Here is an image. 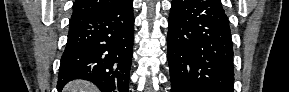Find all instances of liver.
Here are the masks:
<instances>
[{
  "label": "liver",
  "instance_id": "obj_1",
  "mask_svg": "<svg viewBox=\"0 0 289 92\" xmlns=\"http://www.w3.org/2000/svg\"><path fill=\"white\" fill-rule=\"evenodd\" d=\"M97 88L90 82L75 80L69 82L65 87V92H97Z\"/></svg>",
  "mask_w": 289,
  "mask_h": 92
}]
</instances>
